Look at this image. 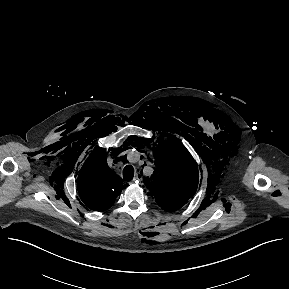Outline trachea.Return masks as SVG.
Returning <instances> with one entry per match:
<instances>
[{
	"mask_svg": "<svg viewBox=\"0 0 289 289\" xmlns=\"http://www.w3.org/2000/svg\"><path fill=\"white\" fill-rule=\"evenodd\" d=\"M134 176V169L132 166L127 165L123 170V179L125 181H131Z\"/></svg>",
	"mask_w": 289,
	"mask_h": 289,
	"instance_id": "3493384b",
	"label": "trachea"
}]
</instances>
